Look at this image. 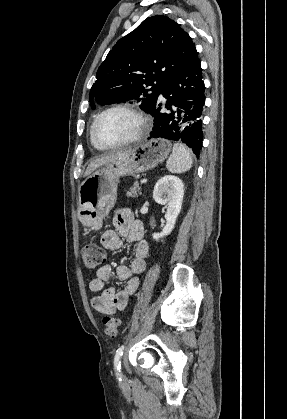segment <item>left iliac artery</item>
Returning <instances> with one entry per match:
<instances>
[{
    "label": "left iliac artery",
    "mask_w": 287,
    "mask_h": 419,
    "mask_svg": "<svg viewBox=\"0 0 287 419\" xmlns=\"http://www.w3.org/2000/svg\"><path fill=\"white\" fill-rule=\"evenodd\" d=\"M123 349H124V346H121L120 348H118L117 351H116L115 357H114V368L116 370V375L117 376L120 375L119 374L120 373V368H121L120 358L123 354ZM119 380H121V378H119Z\"/></svg>",
    "instance_id": "left-iliac-artery-1"
}]
</instances>
